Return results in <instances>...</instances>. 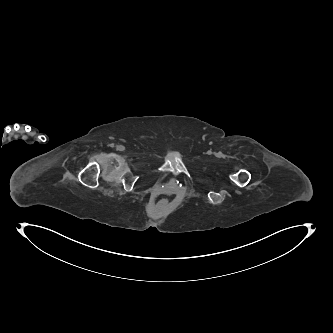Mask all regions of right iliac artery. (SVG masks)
Segmentation results:
<instances>
[{
	"instance_id": "obj_1",
	"label": "right iliac artery",
	"mask_w": 333,
	"mask_h": 333,
	"mask_svg": "<svg viewBox=\"0 0 333 333\" xmlns=\"http://www.w3.org/2000/svg\"><path fill=\"white\" fill-rule=\"evenodd\" d=\"M117 150L123 151L124 150V146H122V145L117 146Z\"/></svg>"
}]
</instances>
